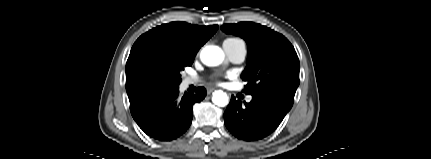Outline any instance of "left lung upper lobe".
I'll return each instance as SVG.
<instances>
[{"instance_id":"1","label":"left lung upper lobe","mask_w":431,"mask_h":159,"mask_svg":"<svg viewBox=\"0 0 431 159\" xmlns=\"http://www.w3.org/2000/svg\"><path fill=\"white\" fill-rule=\"evenodd\" d=\"M221 29L247 42V66L241 75L247 85L243 91L276 96L293 104L300 63L292 44L283 35L253 22L224 24Z\"/></svg>"}]
</instances>
